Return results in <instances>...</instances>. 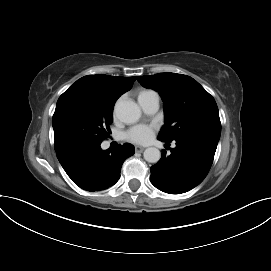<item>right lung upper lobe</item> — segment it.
<instances>
[{"instance_id": "right-lung-upper-lobe-1", "label": "right lung upper lobe", "mask_w": 271, "mask_h": 271, "mask_svg": "<svg viewBox=\"0 0 271 271\" xmlns=\"http://www.w3.org/2000/svg\"><path fill=\"white\" fill-rule=\"evenodd\" d=\"M135 81V77H114L109 75H87L77 80L60 98L71 93H82L90 99L104 103L115 104L116 100L128 91ZM56 150L58 159L68 152Z\"/></svg>"}]
</instances>
